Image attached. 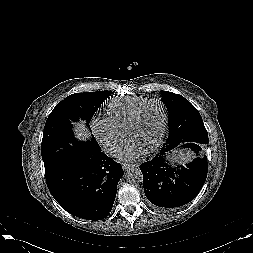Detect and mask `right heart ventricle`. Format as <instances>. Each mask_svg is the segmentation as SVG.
Returning <instances> with one entry per match:
<instances>
[{
  "mask_svg": "<svg viewBox=\"0 0 253 253\" xmlns=\"http://www.w3.org/2000/svg\"><path fill=\"white\" fill-rule=\"evenodd\" d=\"M147 100V98L138 96H122L114 98L107 106L109 121L118 130L125 132L136 109Z\"/></svg>",
  "mask_w": 253,
  "mask_h": 253,
  "instance_id": "e07e8e85",
  "label": "right heart ventricle"
}]
</instances>
